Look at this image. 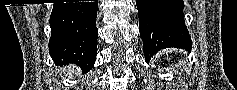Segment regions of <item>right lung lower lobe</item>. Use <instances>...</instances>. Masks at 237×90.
<instances>
[{"label": "right lung lower lobe", "mask_w": 237, "mask_h": 90, "mask_svg": "<svg viewBox=\"0 0 237 90\" xmlns=\"http://www.w3.org/2000/svg\"><path fill=\"white\" fill-rule=\"evenodd\" d=\"M96 2L55 3L50 17L49 53L55 63H75L84 72L97 53Z\"/></svg>", "instance_id": "98d812e1"}]
</instances>
